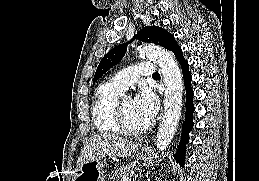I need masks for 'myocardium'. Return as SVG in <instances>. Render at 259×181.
Returning <instances> with one entry per match:
<instances>
[{
	"mask_svg": "<svg viewBox=\"0 0 259 181\" xmlns=\"http://www.w3.org/2000/svg\"><path fill=\"white\" fill-rule=\"evenodd\" d=\"M122 101L123 100L118 101L116 105L117 120L122 131L127 134H140L147 131L151 127L150 122L143 126H133L128 122L123 109Z\"/></svg>",
	"mask_w": 259,
	"mask_h": 181,
	"instance_id": "f54148a6",
	"label": "myocardium"
}]
</instances>
